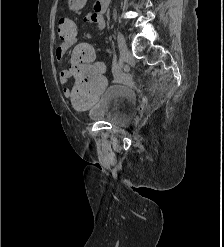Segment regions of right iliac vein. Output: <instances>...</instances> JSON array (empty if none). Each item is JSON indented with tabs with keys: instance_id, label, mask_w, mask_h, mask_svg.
<instances>
[{
	"instance_id": "1",
	"label": "right iliac vein",
	"mask_w": 224,
	"mask_h": 247,
	"mask_svg": "<svg viewBox=\"0 0 224 247\" xmlns=\"http://www.w3.org/2000/svg\"><path fill=\"white\" fill-rule=\"evenodd\" d=\"M117 37H118V46L120 50V58L122 62H125L128 56V47H127L124 36L120 32H118Z\"/></svg>"
}]
</instances>
